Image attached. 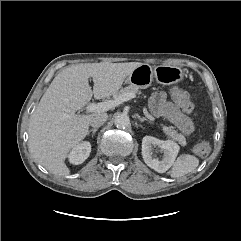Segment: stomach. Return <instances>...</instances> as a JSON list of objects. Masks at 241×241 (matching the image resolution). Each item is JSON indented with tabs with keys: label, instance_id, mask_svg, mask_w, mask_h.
<instances>
[{
	"label": "stomach",
	"instance_id": "0dacf381",
	"mask_svg": "<svg viewBox=\"0 0 241 241\" xmlns=\"http://www.w3.org/2000/svg\"><path fill=\"white\" fill-rule=\"evenodd\" d=\"M186 76L185 71L178 66L141 64L136 67L125 80L126 83L145 89L152 84L154 78L159 84L171 85L181 82Z\"/></svg>",
	"mask_w": 241,
	"mask_h": 241
}]
</instances>
